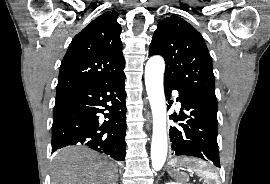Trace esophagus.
<instances>
[{"instance_id":"34e87169","label":"esophagus","mask_w":270,"mask_h":184,"mask_svg":"<svg viewBox=\"0 0 270 184\" xmlns=\"http://www.w3.org/2000/svg\"><path fill=\"white\" fill-rule=\"evenodd\" d=\"M147 117H148V119H149V117H150V113H149V112L147 113Z\"/></svg>"}]
</instances>
